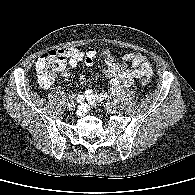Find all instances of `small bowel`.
Returning <instances> with one entry per match:
<instances>
[{
	"instance_id": "1",
	"label": "small bowel",
	"mask_w": 195,
	"mask_h": 195,
	"mask_svg": "<svg viewBox=\"0 0 195 195\" xmlns=\"http://www.w3.org/2000/svg\"><path fill=\"white\" fill-rule=\"evenodd\" d=\"M68 59L69 66L74 68L82 60H85L87 66H92L97 58V51L88 48L83 51L76 47L67 48L59 51ZM104 60V74L109 81L108 91H92L87 90L84 94L78 96V100L83 102L79 114H83L89 107L97 105L110 95H118L123 88L129 87L136 79L141 77L150 78L153 75V67L148 59L140 53H126L122 57V61L117 62L110 50L105 49L102 52ZM126 62H130L132 69H129ZM66 77H70V73H65ZM79 81L85 83L86 76L80 75Z\"/></svg>"
}]
</instances>
